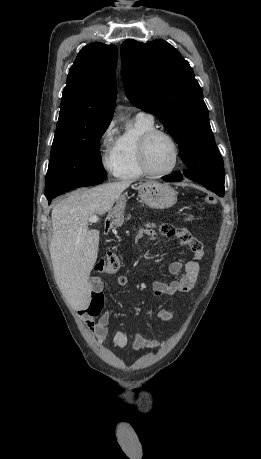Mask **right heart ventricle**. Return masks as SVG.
I'll use <instances>...</instances> for the list:
<instances>
[{
	"instance_id": "obj_1",
	"label": "right heart ventricle",
	"mask_w": 261,
	"mask_h": 459,
	"mask_svg": "<svg viewBox=\"0 0 261 459\" xmlns=\"http://www.w3.org/2000/svg\"><path fill=\"white\" fill-rule=\"evenodd\" d=\"M155 128L153 118L136 117L128 130L116 139L114 151L118 164V178L130 180L145 175L139 162V140L146 132Z\"/></svg>"
}]
</instances>
